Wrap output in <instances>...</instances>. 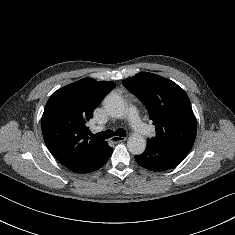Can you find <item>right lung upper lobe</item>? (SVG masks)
I'll list each match as a JSON object with an SVG mask.
<instances>
[{
	"mask_svg": "<svg viewBox=\"0 0 235 235\" xmlns=\"http://www.w3.org/2000/svg\"><path fill=\"white\" fill-rule=\"evenodd\" d=\"M115 86L84 78L60 88L47 101L41 118L43 138L53 156L68 169L78 172L106 144L88 137L87 122Z\"/></svg>",
	"mask_w": 235,
	"mask_h": 235,
	"instance_id": "cb5924a9",
	"label": "right lung upper lobe"
}]
</instances>
